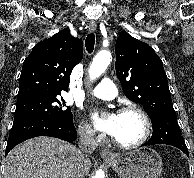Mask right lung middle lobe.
I'll return each mask as SVG.
<instances>
[{
    "mask_svg": "<svg viewBox=\"0 0 194 178\" xmlns=\"http://www.w3.org/2000/svg\"><path fill=\"white\" fill-rule=\"evenodd\" d=\"M30 114L44 115L57 120L73 118L70 107L65 105L63 99L58 100L57 95L17 101L14 117Z\"/></svg>",
    "mask_w": 194,
    "mask_h": 178,
    "instance_id": "right-lung-middle-lobe-1",
    "label": "right lung middle lobe"
}]
</instances>
